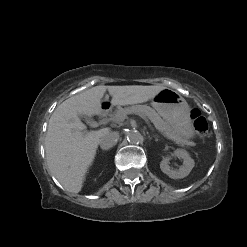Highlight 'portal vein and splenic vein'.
Returning a JSON list of instances; mask_svg holds the SVG:
<instances>
[{
  "instance_id": "portal-vein-and-splenic-vein-1",
  "label": "portal vein and splenic vein",
  "mask_w": 247,
  "mask_h": 247,
  "mask_svg": "<svg viewBox=\"0 0 247 247\" xmlns=\"http://www.w3.org/2000/svg\"><path fill=\"white\" fill-rule=\"evenodd\" d=\"M138 115L146 121V123L149 125V127H151L150 122L148 121V119L146 118L145 115H143V114H138ZM123 120H124V118H120V121H123Z\"/></svg>"
}]
</instances>
